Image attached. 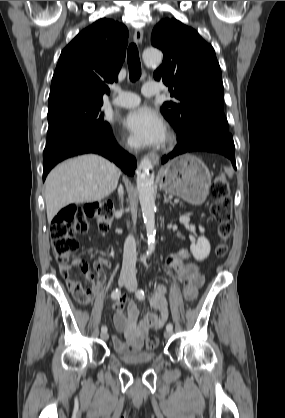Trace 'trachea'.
Wrapping results in <instances>:
<instances>
[{
	"label": "trachea",
	"mask_w": 285,
	"mask_h": 418,
	"mask_svg": "<svg viewBox=\"0 0 285 418\" xmlns=\"http://www.w3.org/2000/svg\"><path fill=\"white\" fill-rule=\"evenodd\" d=\"M127 63L129 67V77L131 81H136L141 76V63L136 44L129 45L127 51Z\"/></svg>",
	"instance_id": "trachea-1"
}]
</instances>
